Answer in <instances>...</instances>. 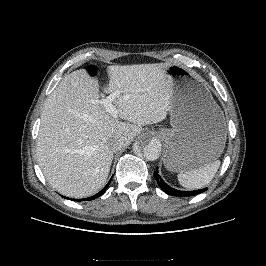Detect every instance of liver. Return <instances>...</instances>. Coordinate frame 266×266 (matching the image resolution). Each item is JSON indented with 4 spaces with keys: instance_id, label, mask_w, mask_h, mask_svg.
I'll return each instance as SVG.
<instances>
[{
    "instance_id": "6515ba94",
    "label": "liver",
    "mask_w": 266,
    "mask_h": 266,
    "mask_svg": "<svg viewBox=\"0 0 266 266\" xmlns=\"http://www.w3.org/2000/svg\"><path fill=\"white\" fill-rule=\"evenodd\" d=\"M169 63L112 65L109 82L99 90L96 77L85 69L65 76L48 96L41 114L37 157L48 183L59 193L83 198L106 183L113 160L108 142L122 136L128 146L142 125L163 121L170 110ZM118 93L114 118L100 103Z\"/></svg>"
}]
</instances>
